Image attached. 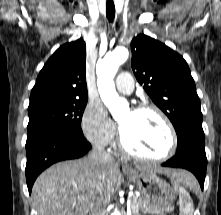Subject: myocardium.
Wrapping results in <instances>:
<instances>
[{
    "label": "myocardium",
    "mask_w": 221,
    "mask_h": 215,
    "mask_svg": "<svg viewBox=\"0 0 221 215\" xmlns=\"http://www.w3.org/2000/svg\"><path fill=\"white\" fill-rule=\"evenodd\" d=\"M136 111L138 112H153L155 113L163 122V124L165 125L168 135H169V148L168 150L161 156L158 157H149V156H145V155H141L139 153L134 152L133 150H131L125 139L123 136V133L121 131V128L119 130V143H120V148L122 149V151L127 154L128 156L141 160V161H145V162H151V163H160V162H164L168 159H170L176 152L177 150V146H178V137H177V133L176 130L171 122V120L169 119V117L157 106L155 105H151V104H143L140 105L136 108Z\"/></svg>",
    "instance_id": "myocardium-1"
}]
</instances>
